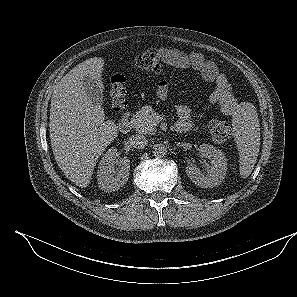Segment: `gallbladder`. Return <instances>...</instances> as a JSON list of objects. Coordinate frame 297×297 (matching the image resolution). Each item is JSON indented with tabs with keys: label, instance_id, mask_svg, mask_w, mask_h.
<instances>
[{
	"label": "gallbladder",
	"instance_id": "1",
	"mask_svg": "<svg viewBox=\"0 0 297 297\" xmlns=\"http://www.w3.org/2000/svg\"><path fill=\"white\" fill-rule=\"evenodd\" d=\"M83 86L87 97L92 100L95 105L102 108L103 93L98 80L87 76L83 80Z\"/></svg>",
	"mask_w": 297,
	"mask_h": 297
}]
</instances>
